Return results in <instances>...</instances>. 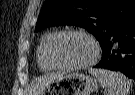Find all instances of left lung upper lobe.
<instances>
[{
  "instance_id": "left-lung-upper-lobe-1",
  "label": "left lung upper lobe",
  "mask_w": 135,
  "mask_h": 95,
  "mask_svg": "<svg viewBox=\"0 0 135 95\" xmlns=\"http://www.w3.org/2000/svg\"><path fill=\"white\" fill-rule=\"evenodd\" d=\"M133 16L135 0H45L35 31L57 25L80 26L101 45Z\"/></svg>"
}]
</instances>
